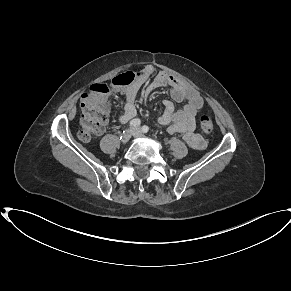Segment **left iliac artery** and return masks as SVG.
<instances>
[{"label":"left iliac artery","mask_w":291,"mask_h":291,"mask_svg":"<svg viewBox=\"0 0 291 291\" xmlns=\"http://www.w3.org/2000/svg\"><path fill=\"white\" fill-rule=\"evenodd\" d=\"M142 132L143 133H147L149 131V127L144 125L142 128H141Z\"/></svg>","instance_id":"1"}]
</instances>
